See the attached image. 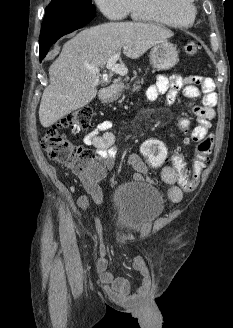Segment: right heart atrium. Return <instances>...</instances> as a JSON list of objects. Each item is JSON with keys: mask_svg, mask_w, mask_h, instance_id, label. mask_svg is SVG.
Here are the masks:
<instances>
[{"mask_svg": "<svg viewBox=\"0 0 233 328\" xmlns=\"http://www.w3.org/2000/svg\"><path fill=\"white\" fill-rule=\"evenodd\" d=\"M130 0H94L97 8L111 20H121L129 13Z\"/></svg>", "mask_w": 233, "mask_h": 328, "instance_id": "right-heart-atrium-1", "label": "right heart atrium"}]
</instances>
